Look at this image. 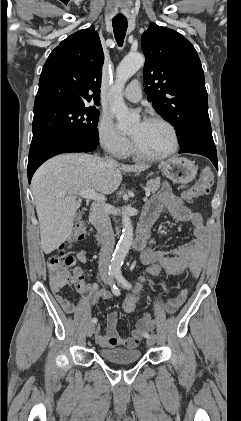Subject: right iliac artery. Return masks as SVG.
Returning a JSON list of instances; mask_svg holds the SVG:
<instances>
[{"mask_svg":"<svg viewBox=\"0 0 241 421\" xmlns=\"http://www.w3.org/2000/svg\"><path fill=\"white\" fill-rule=\"evenodd\" d=\"M114 275H115L114 271L111 270L109 272V277L112 279ZM111 291L115 296L120 295V290L118 289V287L115 284L112 283V280H111ZM96 322H97V318H95V317L92 318V323H96Z\"/></svg>","mask_w":241,"mask_h":421,"instance_id":"82829eb1","label":"right iliac artery"}]
</instances>
